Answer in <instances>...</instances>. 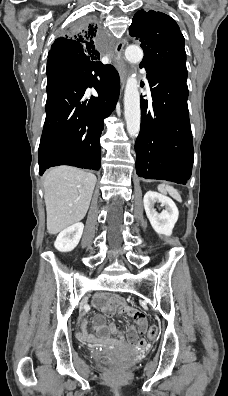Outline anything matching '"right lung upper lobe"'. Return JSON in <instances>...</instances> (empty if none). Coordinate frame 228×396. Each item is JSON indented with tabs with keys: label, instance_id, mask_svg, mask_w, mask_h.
Returning <instances> with one entry per match:
<instances>
[{
	"label": "right lung upper lobe",
	"instance_id": "cb5924a9",
	"mask_svg": "<svg viewBox=\"0 0 228 396\" xmlns=\"http://www.w3.org/2000/svg\"><path fill=\"white\" fill-rule=\"evenodd\" d=\"M96 26L55 40L48 53L47 71L69 70L78 63L100 62L95 46ZM100 65V63H97Z\"/></svg>",
	"mask_w": 228,
	"mask_h": 396
}]
</instances>
